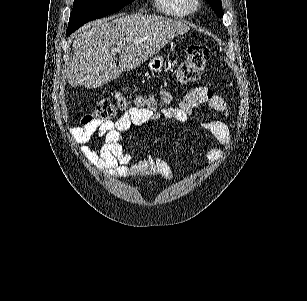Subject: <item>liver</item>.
Instances as JSON below:
<instances>
[{"label": "liver", "mask_w": 307, "mask_h": 301, "mask_svg": "<svg viewBox=\"0 0 307 301\" xmlns=\"http://www.w3.org/2000/svg\"><path fill=\"white\" fill-rule=\"evenodd\" d=\"M81 26L72 34L71 86L97 88L133 70L159 52L171 38L189 32L188 22L155 14H116ZM70 36V40H72ZM119 52L117 66L116 54Z\"/></svg>", "instance_id": "6515ba94"}]
</instances>
